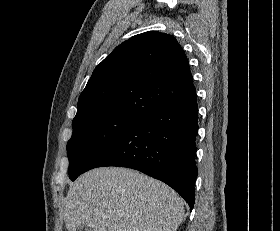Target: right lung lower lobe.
<instances>
[{
    "instance_id": "right-lung-lower-lobe-1",
    "label": "right lung lower lobe",
    "mask_w": 280,
    "mask_h": 231,
    "mask_svg": "<svg viewBox=\"0 0 280 231\" xmlns=\"http://www.w3.org/2000/svg\"><path fill=\"white\" fill-rule=\"evenodd\" d=\"M197 119V97L158 108L113 142L82 173L103 166L139 170L171 186L192 210L198 172Z\"/></svg>"
}]
</instances>
